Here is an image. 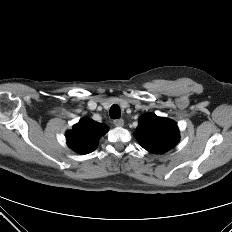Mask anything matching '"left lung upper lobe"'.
Instances as JSON below:
<instances>
[{
	"instance_id": "5c2ea615",
	"label": "left lung upper lobe",
	"mask_w": 232,
	"mask_h": 232,
	"mask_svg": "<svg viewBox=\"0 0 232 232\" xmlns=\"http://www.w3.org/2000/svg\"><path fill=\"white\" fill-rule=\"evenodd\" d=\"M134 136L144 149L157 154L170 150L179 141L176 123L151 113L140 117Z\"/></svg>"
}]
</instances>
